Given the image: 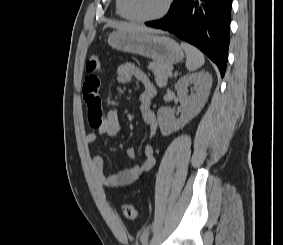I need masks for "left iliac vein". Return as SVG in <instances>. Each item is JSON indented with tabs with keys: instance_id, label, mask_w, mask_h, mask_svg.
Returning a JSON list of instances; mask_svg holds the SVG:
<instances>
[{
	"instance_id": "1",
	"label": "left iliac vein",
	"mask_w": 283,
	"mask_h": 245,
	"mask_svg": "<svg viewBox=\"0 0 283 245\" xmlns=\"http://www.w3.org/2000/svg\"><path fill=\"white\" fill-rule=\"evenodd\" d=\"M142 245H149V243L147 240H145L144 242H142Z\"/></svg>"
}]
</instances>
